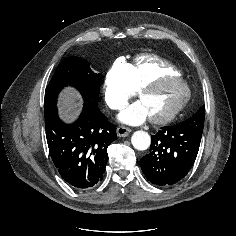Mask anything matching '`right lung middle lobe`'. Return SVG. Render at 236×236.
Listing matches in <instances>:
<instances>
[{"label": "right lung middle lobe", "instance_id": "1", "mask_svg": "<svg viewBox=\"0 0 236 236\" xmlns=\"http://www.w3.org/2000/svg\"><path fill=\"white\" fill-rule=\"evenodd\" d=\"M101 74L92 71L89 63L79 57H68L61 61L46 87L44 112H57L58 94L64 87L75 88L83 98L84 107L98 106Z\"/></svg>", "mask_w": 236, "mask_h": 236}]
</instances>
